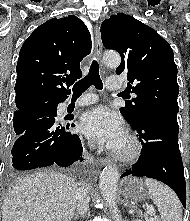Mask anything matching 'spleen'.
I'll return each mask as SVG.
<instances>
[{
    "instance_id": "obj_1",
    "label": "spleen",
    "mask_w": 190,
    "mask_h": 221,
    "mask_svg": "<svg viewBox=\"0 0 190 221\" xmlns=\"http://www.w3.org/2000/svg\"><path fill=\"white\" fill-rule=\"evenodd\" d=\"M149 195L157 206L162 221H182V207L175 192L161 182L146 178Z\"/></svg>"
}]
</instances>
